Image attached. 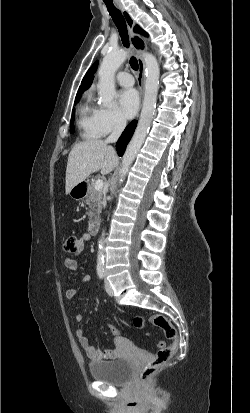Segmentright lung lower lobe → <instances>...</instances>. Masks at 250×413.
<instances>
[{
	"mask_svg": "<svg viewBox=\"0 0 250 413\" xmlns=\"http://www.w3.org/2000/svg\"><path fill=\"white\" fill-rule=\"evenodd\" d=\"M137 125V121L133 120L124 130V132L122 133V135L120 136L119 140L116 143V150L119 154V156H122L124 154V151L126 149V146L128 144V142L130 141L135 128Z\"/></svg>",
	"mask_w": 250,
	"mask_h": 413,
	"instance_id": "1",
	"label": "right lung lower lobe"
}]
</instances>
